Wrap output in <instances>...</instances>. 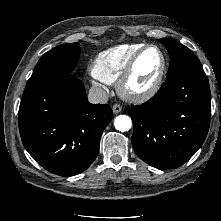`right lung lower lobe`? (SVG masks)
<instances>
[{
	"label": "right lung lower lobe",
	"mask_w": 221,
	"mask_h": 221,
	"mask_svg": "<svg viewBox=\"0 0 221 221\" xmlns=\"http://www.w3.org/2000/svg\"><path fill=\"white\" fill-rule=\"evenodd\" d=\"M112 117L109 105L88 102L82 81L74 75H40L27 82L19 130L37 163L56 175L74 176L95 160Z\"/></svg>",
	"instance_id": "98d812e1"
}]
</instances>
